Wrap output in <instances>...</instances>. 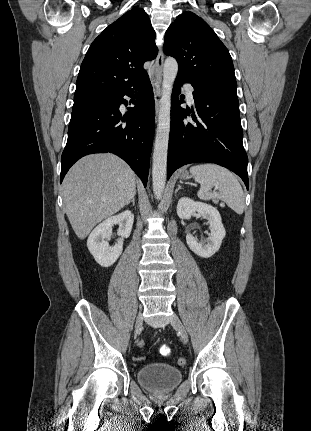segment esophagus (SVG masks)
I'll use <instances>...</instances> for the list:
<instances>
[{
	"instance_id": "obj_1",
	"label": "esophagus",
	"mask_w": 311,
	"mask_h": 431,
	"mask_svg": "<svg viewBox=\"0 0 311 431\" xmlns=\"http://www.w3.org/2000/svg\"><path fill=\"white\" fill-rule=\"evenodd\" d=\"M163 60L164 55L162 50L157 55L155 67L151 74V81L153 86V92H154V102H155V113L156 117L159 112V103L161 100V84H162V72H163Z\"/></svg>"
}]
</instances>
